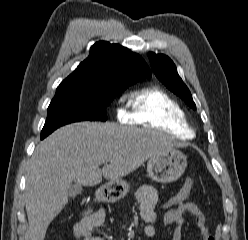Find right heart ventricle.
<instances>
[{
    "instance_id": "right-heart-ventricle-1",
    "label": "right heart ventricle",
    "mask_w": 248,
    "mask_h": 240,
    "mask_svg": "<svg viewBox=\"0 0 248 240\" xmlns=\"http://www.w3.org/2000/svg\"><path fill=\"white\" fill-rule=\"evenodd\" d=\"M125 121L156 129L180 140L191 139L194 131L180 103L162 89L141 88L129 96Z\"/></svg>"
}]
</instances>
